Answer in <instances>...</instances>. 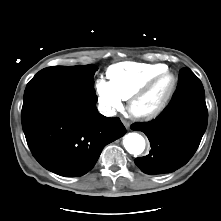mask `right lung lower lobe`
Wrapping results in <instances>:
<instances>
[{"instance_id":"right-lung-lower-lobe-1","label":"right lung lower lobe","mask_w":221,"mask_h":221,"mask_svg":"<svg viewBox=\"0 0 221 221\" xmlns=\"http://www.w3.org/2000/svg\"><path fill=\"white\" fill-rule=\"evenodd\" d=\"M95 92L53 85L26 87L22 127L35 159L61 176L78 177L91 170L102 149L126 133L119 118L96 108Z\"/></svg>"}]
</instances>
